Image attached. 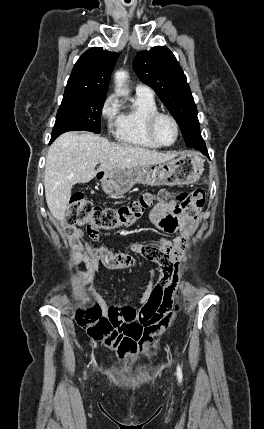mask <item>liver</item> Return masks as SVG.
<instances>
[{"mask_svg":"<svg viewBox=\"0 0 264 429\" xmlns=\"http://www.w3.org/2000/svg\"><path fill=\"white\" fill-rule=\"evenodd\" d=\"M177 155L116 144L93 133L66 132L52 143L46 158L44 187L48 208L55 219L63 221L74 184L88 183L101 170L161 164Z\"/></svg>","mask_w":264,"mask_h":429,"instance_id":"6515ba94","label":"liver"}]
</instances>
